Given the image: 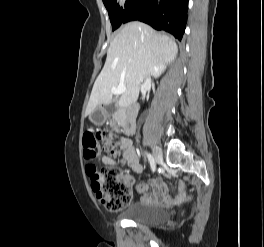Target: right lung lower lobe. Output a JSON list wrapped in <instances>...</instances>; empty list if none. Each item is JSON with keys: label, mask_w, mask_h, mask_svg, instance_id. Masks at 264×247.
I'll return each mask as SVG.
<instances>
[{"label": "right lung lower lobe", "mask_w": 264, "mask_h": 247, "mask_svg": "<svg viewBox=\"0 0 264 247\" xmlns=\"http://www.w3.org/2000/svg\"><path fill=\"white\" fill-rule=\"evenodd\" d=\"M187 8L188 0H134L122 23L142 21L181 40L186 27Z\"/></svg>", "instance_id": "right-lung-lower-lobe-1"}]
</instances>
